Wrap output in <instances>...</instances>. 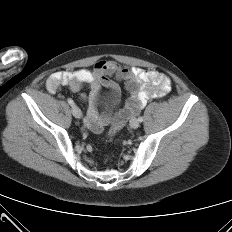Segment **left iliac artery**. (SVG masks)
Returning a JSON list of instances; mask_svg holds the SVG:
<instances>
[{"instance_id": "obj_1", "label": "left iliac artery", "mask_w": 232, "mask_h": 232, "mask_svg": "<svg viewBox=\"0 0 232 232\" xmlns=\"http://www.w3.org/2000/svg\"><path fill=\"white\" fill-rule=\"evenodd\" d=\"M138 121L142 122L143 121V117L142 116L138 117Z\"/></svg>"}]
</instances>
